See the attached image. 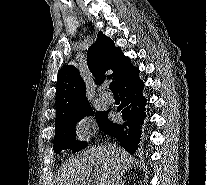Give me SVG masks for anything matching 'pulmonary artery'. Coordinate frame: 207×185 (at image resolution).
Returning a JSON list of instances; mask_svg holds the SVG:
<instances>
[{
	"label": "pulmonary artery",
	"instance_id": "e3ab8cb5",
	"mask_svg": "<svg viewBox=\"0 0 207 185\" xmlns=\"http://www.w3.org/2000/svg\"><path fill=\"white\" fill-rule=\"evenodd\" d=\"M99 98H100L101 101H103L106 104H111L114 101V98H113L112 94L109 93V92H106V91L101 92L99 94Z\"/></svg>",
	"mask_w": 207,
	"mask_h": 185
}]
</instances>
